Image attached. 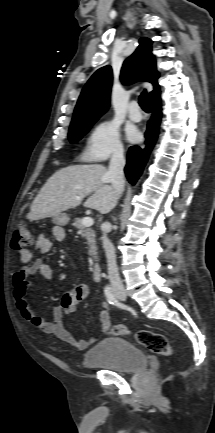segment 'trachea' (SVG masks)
<instances>
[{
    "instance_id": "trachea-1",
    "label": "trachea",
    "mask_w": 215,
    "mask_h": 433,
    "mask_svg": "<svg viewBox=\"0 0 215 433\" xmlns=\"http://www.w3.org/2000/svg\"><path fill=\"white\" fill-rule=\"evenodd\" d=\"M139 105L144 111H149L150 106L148 102V96L146 90H144L141 95L139 96Z\"/></svg>"
}]
</instances>
